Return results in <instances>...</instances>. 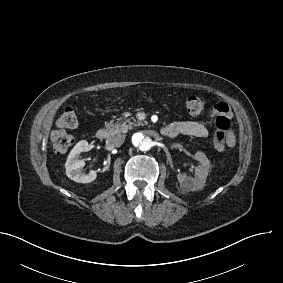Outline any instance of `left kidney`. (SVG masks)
Masks as SVG:
<instances>
[{"label":"left kidney","instance_id":"left-kidney-1","mask_svg":"<svg viewBox=\"0 0 283 283\" xmlns=\"http://www.w3.org/2000/svg\"><path fill=\"white\" fill-rule=\"evenodd\" d=\"M195 159L200 162V165L195 169V177H188L185 173H179L177 175L180 189L183 193L202 189L206 182L210 169V161L201 151L196 152Z\"/></svg>","mask_w":283,"mask_h":283}]
</instances>
